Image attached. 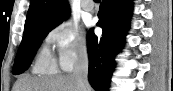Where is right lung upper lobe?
<instances>
[{
  "label": "right lung upper lobe",
  "instance_id": "obj_1",
  "mask_svg": "<svg viewBox=\"0 0 173 91\" xmlns=\"http://www.w3.org/2000/svg\"><path fill=\"white\" fill-rule=\"evenodd\" d=\"M68 15L69 7L66 0H31L24 32L43 25H55Z\"/></svg>",
  "mask_w": 173,
  "mask_h": 91
}]
</instances>
